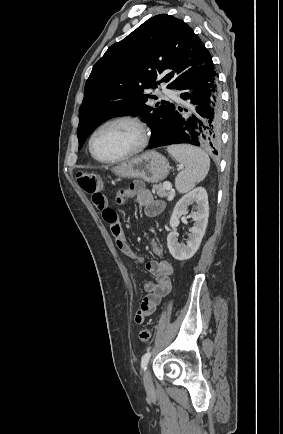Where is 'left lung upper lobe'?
Here are the masks:
<instances>
[{
    "label": "left lung upper lobe",
    "mask_w": 283,
    "mask_h": 434,
    "mask_svg": "<svg viewBox=\"0 0 283 434\" xmlns=\"http://www.w3.org/2000/svg\"><path fill=\"white\" fill-rule=\"evenodd\" d=\"M212 61L208 49L186 23L156 15L122 41L110 46L93 66L79 110V149L104 121L119 115H140L155 142L166 129L175 106L164 100L148 105V94L161 82L178 90ZM159 80L158 82H156Z\"/></svg>",
    "instance_id": "5c2ea615"
}]
</instances>
